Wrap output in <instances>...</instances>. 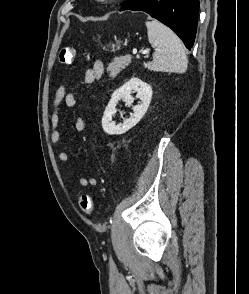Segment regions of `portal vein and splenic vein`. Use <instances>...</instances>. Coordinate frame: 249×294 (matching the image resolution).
<instances>
[{
	"instance_id": "obj_1",
	"label": "portal vein and splenic vein",
	"mask_w": 249,
	"mask_h": 294,
	"mask_svg": "<svg viewBox=\"0 0 249 294\" xmlns=\"http://www.w3.org/2000/svg\"><path fill=\"white\" fill-rule=\"evenodd\" d=\"M133 54H137V50H133ZM142 54H149V51L148 50H145L142 52Z\"/></svg>"
}]
</instances>
